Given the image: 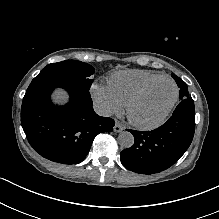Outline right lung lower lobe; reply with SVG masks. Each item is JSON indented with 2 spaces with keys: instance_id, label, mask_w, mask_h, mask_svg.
<instances>
[{
  "instance_id": "98d812e1",
  "label": "right lung lower lobe",
  "mask_w": 219,
  "mask_h": 219,
  "mask_svg": "<svg viewBox=\"0 0 219 219\" xmlns=\"http://www.w3.org/2000/svg\"><path fill=\"white\" fill-rule=\"evenodd\" d=\"M61 87L70 95L64 106L50 100ZM89 89L80 82L60 77H35L21 107V124L31 146L44 158L62 164L84 160L95 136L113 130L115 122L100 117L92 107Z\"/></svg>"
}]
</instances>
